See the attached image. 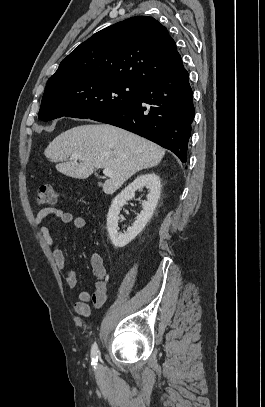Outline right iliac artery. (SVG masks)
<instances>
[{
	"mask_svg": "<svg viewBox=\"0 0 265 407\" xmlns=\"http://www.w3.org/2000/svg\"><path fill=\"white\" fill-rule=\"evenodd\" d=\"M98 354H99L98 346L96 343H94L91 349V360H92L91 364L94 366V368H96L97 365Z\"/></svg>",
	"mask_w": 265,
	"mask_h": 407,
	"instance_id": "right-iliac-artery-1",
	"label": "right iliac artery"
}]
</instances>
